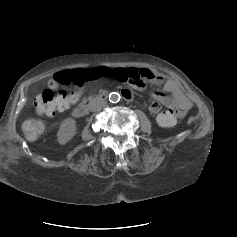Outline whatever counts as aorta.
I'll return each mask as SVG.
<instances>
[{
	"instance_id": "1",
	"label": "aorta",
	"mask_w": 237,
	"mask_h": 237,
	"mask_svg": "<svg viewBox=\"0 0 237 237\" xmlns=\"http://www.w3.org/2000/svg\"><path fill=\"white\" fill-rule=\"evenodd\" d=\"M120 99H121V96H120V94L117 93V92H112V93H110V95H109V101H110L111 103H117V102L120 101Z\"/></svg>"
}]
</instances>
